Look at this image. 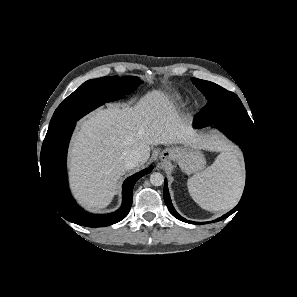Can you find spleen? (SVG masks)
<instances>
[{
    "label": "spleen",
    "instance_id": "obj_1",
    "mask_svg": "<svg viewBox=\"0 0 297 297\" xmlns=\"http://www.w3.org/2000/svg\"><path fill=\"white\" fill-rule=\"evenodd\" d=\"M243 182L239 155L235 150H227L210 167L188 180V190L201 208L208 211L228 210L237 203Z\"/></svg>",
    "mask_w": 297,
    "mask_h": 297
}]
</instances>
